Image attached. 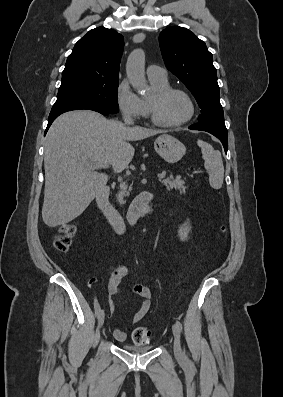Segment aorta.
<instances>
[{
	"mask_svg": "<svg viewBox=\"0 0 283 397\" xmlns=\"http://www.w3.org/2000/svg\"><path fill=\"white\" fill-rule=\"evenodd\" d=\"M126 73L132 87L136 91L143 92L148 89L145 79V54L143 50L136 49L129 55L126 63Z\"/></svg>",
	"mask_w": 283,
	"mask_h": 397,
	"instance_id": "obj_1",
	"label": "aorta"
}]
</instances>
